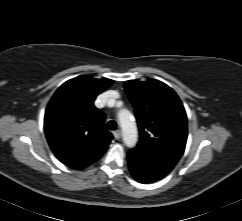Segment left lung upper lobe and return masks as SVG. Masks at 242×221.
<instances>
[{"instance_id": "1", "label": "left lung upper lobe", "mask_w": 242, "mask_h": 221, "mask_svg": "<svg viewBox=\"0 0 242 221\" xmlns=\"http://www.w3.org/2000/svg\"><path fill=\"white\" fill-rule=\"evenodd\" d=\"M124 89L138 122L140 140L133 149L175 165L187 140V116L177 94L158 80H129Z\"/></svg>"}]
</instances>
